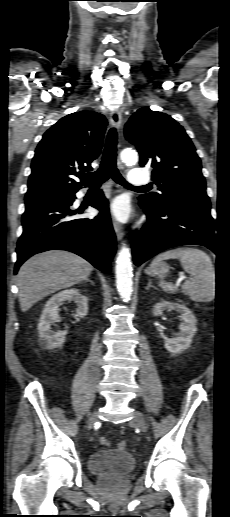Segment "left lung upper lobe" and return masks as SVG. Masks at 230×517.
Here are the masks:
<instances>
[{
    "mask_svg": "<svg viewBox=\"0 0 230 517\" xmlns=\"http://www.w3.org/2000/svg\"><path fill=\"white\" fill-rule=\"evenodd\" d=\"M125 137L140 154V166L153 167V180L162 192L139 200L160 208L183 199H208L201 161L182 126L165 113L143 107L125 125Z\"/></svg>",
    "mask_w": 230,
    "mask_h": 517,
    "instance_id": "left-lung-upper-lobe-1",
    "label": "left lung upper lobe"
}]
</instances>
